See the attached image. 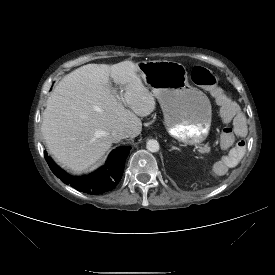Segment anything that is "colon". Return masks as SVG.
<instances>
[{
	"label": "colon",
	"mask_w": 275,
	"mask_h": 275,
	"mask_svg": "<svg viewBox=\"0 0 275 275\" xmlns=\"http://www.w3.org/2000/svg\"><path fill=\"white\" fill-rule=\"evenodd\" d=\"M192 80L205 87L218 102H222L226 95L219 85V78L215 72L202 66H195L191 72ZM245 149V141L238 140L234 149L241 156Z\"/></svg>",
	"instance_id": "colon-1"
}]
</instances>
